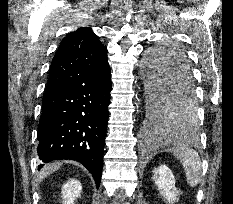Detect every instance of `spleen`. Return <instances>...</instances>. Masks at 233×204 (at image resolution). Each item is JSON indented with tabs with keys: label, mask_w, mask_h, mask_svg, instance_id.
Listing matches in <instances>:
<instances>
[{
	"label": "spleen",
	"mask_w": 233,
	"mask_h": 204,
	"mask_svg": "<svg viewBox=\"0 0 233 204\" xmlns=\"http://www.w3.org/2000/svg\"><path fill=\"white\" fill-rule=\"evenodd\" d=\"M171 151L184 167L190 187H196L202 179V164L198 152L186 144L179 143Z\"/></svg>",
	"instance_id": "3e777b00"
}]
</instances>
